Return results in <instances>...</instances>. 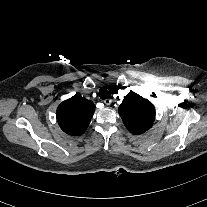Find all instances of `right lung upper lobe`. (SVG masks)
<instances>
[{
    "instance_id": "right-lung-upper-lobe-1",
    "label": "right lung upper lobe",
    "mask_w": 207,
    "mask_h": 207,
    "mask_svg": "<svg viewBox=\"0 0 207 207\" xmlns=\"http://www.w3.org/2000/svg\"><path fill=\"white\" fill-rule=\"evenodd\" d=\"M92 101L76 94L62 102L56 112L60 128L69 135H80L87 129L94 114Z\"/></svg>"
}]
</instances>
